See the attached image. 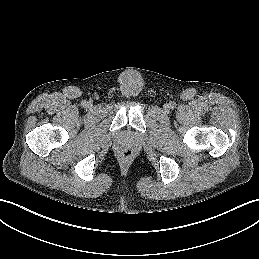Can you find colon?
I'll list each match as a JSON object with an SVG mask.
<instances>
[{
    "instance_id": "colon-1",
    "label": "colon",
    "mask_w": 259,
    "mask_h": 259,
    "mask_svg": "<svg viewBox=\"0 0 259 259\" xmlns=\"http://www.w3.org/2000/svg\"><path fill=\"white\" fill-rule=\"evenodd\" d=\"M131 155H132V151H131L130 149H124V150L122 151V156H123L124 158H129Z\"/></svg>"
}]
</instances>
